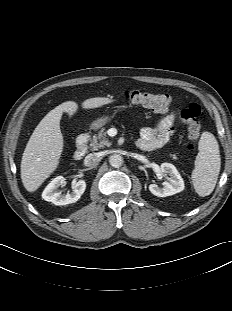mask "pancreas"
<instances>
[{
	"label": "pancreas",
	"mask_w": 232,
	"mask_h": 311,
	"mask_svg": "<svg viewBox=\"0 0 232 311\" xmlns=\"http://www.w3.org/2000/svg\"><path fill=\"white\" fill-rule=\"evenodd\" d=\"M105 146L107 147L111 146V142L106 138L105 128H101L98 134H95L90 139V148L93 151H97L98 149L103 148ZM170 157H172L173 159H177L176 154H170Z\"/></svg>",
	"instance_id": "cf45deb5"
}]
</instances>
